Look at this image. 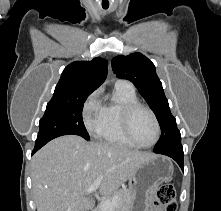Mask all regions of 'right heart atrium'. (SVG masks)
Segmentation results:
<instances>
[{"instance_id":"d8ad5b80","label":"right heart atrium","mask_w":221,"mask_h":211,"mask_svg":"<svg viewBox=\"0 0 221 211\" xmlns=\"http://www.w3.org/2000/svg\"><path fill=\"white\" fill-rule=\"evenodd\" d=\"M81 116L85 128L90 133H97L102 125L103 105L99 90L93 91L84 101Z\"/></svg>"}]
</instances>
